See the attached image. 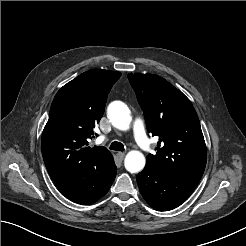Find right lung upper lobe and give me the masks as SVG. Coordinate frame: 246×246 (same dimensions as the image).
Instances as JSON below:
<instances>
[{
    "label": "right lung upper lobe",
    "mask_w": 246,
    "mask_h": 246,
    "mask_svg": "<svg viewBox=\"0 0 246 246\" xmlns=\"http://www.w3.org/2000/svg\"><path fill=\"white\" fill-rule=\"evenodd\" d=\"M120 72L103 69L86 71L64 85L56 94L42 135V155L53 180L90 167L113 163L104 147H88L94 128L105 109L107 95Z\"/></svg>",
    "instance_id": "obj_1"
}]
</instances>
